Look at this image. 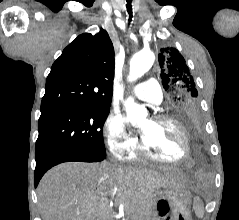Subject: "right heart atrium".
Wrapping results in <instances>:
<instances>
[{
    "mask_svg": "<svg viewBox=\"0 0 239 220\" xmlns=\"http://www.w3.org/2000/svg\"><path fill=\"white\" fill-rule=\"evenodd\" d=\"M103 132L109 151L117 158H122L136 146V139L127 132L125 118L118 111L109 113Z\"/></svg>",
    "mask_w": 239,
    "mask_h": 220,
    "instance_id": "right-heart-atrium-1",
    "label": "right heart atrium"
}]
</instances>
